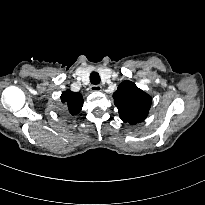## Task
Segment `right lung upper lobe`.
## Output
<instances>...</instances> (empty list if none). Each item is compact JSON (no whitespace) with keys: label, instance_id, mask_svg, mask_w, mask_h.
Here are the masks:
<instances>
[{"label":"right lung upper lobe","instance_id":"cb5924a9","mask_svg":"<svg viewBox=\"0 0 205 205\" xmlns=\"http://www.w3.org/2000/svg\"><path fill=\"white\" fill-rule=\"evenodd\" d=\"M61 101L65 106V109L70 112L71 115L78 114L83 106V97L80 93L66 90L61 95Z\"/></svg>","mask_w":205,"mask_h":205}]
</instances>
